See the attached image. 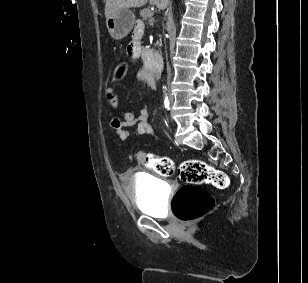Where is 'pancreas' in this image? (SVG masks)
<instances>
[{
    "instance_id": "pancreas-1",
    "label": "pancreas",
    "mask_w": 308,
    "mask_h": 283,
    "mask_svg": "<svg viewBox=\"0 0 308 283\" xmlns=\"http://www.w3.org/2000/svg\"><path fill=\"white\" fill-rule=\"evenodd\" d=\"M140 16L143 20H148L150 25H153V13L149 9H143L140 11Z\"/></svg>"
}]
</instances>
